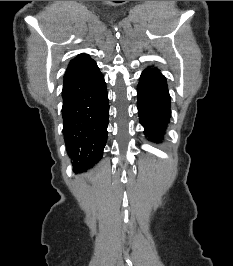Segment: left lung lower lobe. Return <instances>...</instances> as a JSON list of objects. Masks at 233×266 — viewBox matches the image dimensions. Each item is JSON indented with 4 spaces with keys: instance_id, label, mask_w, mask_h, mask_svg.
<instances>
[{
    "instance_id": "left-lung-lower-lobe-1",
    "label": "left lung lower lobe",
    "mask_w": 233,
    "mask_h": 266,
    "mask_svg": "<svg viewBox=\"0 0 233 266\" xmlns=\"http://www.w3.org/2000/svg\"><path fill=\"white\" fill-rule=\"evenodd\" d=\"M138 114L149 140L160 143L171 117L170 95L165 76L157 68L148 67L137 86Z\"/></svg>"
}]
</instances>
